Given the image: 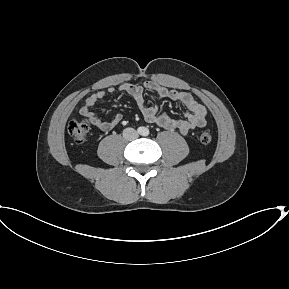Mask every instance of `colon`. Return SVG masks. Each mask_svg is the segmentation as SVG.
<instances>
[{
  "mask_svg": "<svg viewBox=\"0 0 289 289\" xmlns=\"http://www.w3.org/2000/svg\"><path fill=\"white\" fill-rule=\"evenodd\" d=\"M90 130V125L87 119H72L68 123V133L77 143H84L87 139ZM199 139L203 144H208L212 141V134L209 130H202L199 134Z\"/></svg>",
  "mask_w": 289,
  "mask_h": 289,
  "instance_id": "5ec220e1",
  "label": "colon"
}]
</instances>
